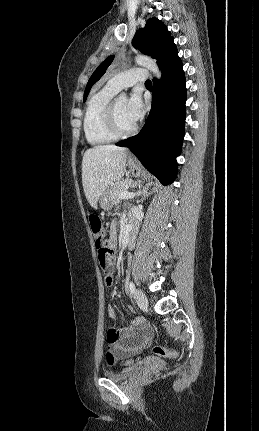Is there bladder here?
Returning <instances> with one entry per match:
<instances>
[{
	"instance_id": "obj_1",
	"label": "bladder",
	"mask_w": 259,
	"mask_h": 431,
	"mask_svg": "<svg viewBox=\"0 0 259 431\" xmlns=\"http://www.w3.org/2000/svg\"><path fill=\"white\" fill-rule=\"evenodd\" d=\"M137 372V368H127L120 371H107L105 377L114 382H123L131 378Z\"/></svg>"
}]
</instances>
